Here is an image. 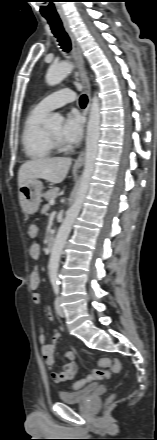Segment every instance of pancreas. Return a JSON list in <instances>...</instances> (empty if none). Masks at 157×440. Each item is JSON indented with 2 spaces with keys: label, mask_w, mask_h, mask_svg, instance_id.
I'll list each match as a JSON object with an SVG mask.
<instances>
[{
  "label": "pancreas",
  "mask_w": 157,
  "mask_h": 440,
  "mask_svg": "<svg viewBox=\"0 0 157 440\" xmlns=\"http://www.w3.org/2000/svg\"><path fill=\"white\" fill-rule=\"evenodd\" d=\"M59 188L55 187L49 191H47L43 197L50 202V200H54L58 196Z\"/></svg>",
  "instance_id": "pancreas-1"
}]
</instances>
